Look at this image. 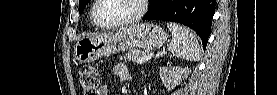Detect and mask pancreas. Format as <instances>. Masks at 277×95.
<instances>
[{
    "label": "pancreas",
    "mask_w": 277,
    "mask_h": 95,
    "mask_svg": "<svg viewBox=\"0 0 277 95\" xmlns=\"http://www.w3.org/2000/svg\"><path fill=\"white\" fill-rule=\"evenodd\" d=\"M147 54L146 50H129L125 53L123 56L124 62L130 61V60H138L139 58L145 56ZM122 58V57H121Z\"/></svg>",
    "instance_id": "obj_1"
}]
</instances>
